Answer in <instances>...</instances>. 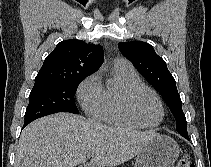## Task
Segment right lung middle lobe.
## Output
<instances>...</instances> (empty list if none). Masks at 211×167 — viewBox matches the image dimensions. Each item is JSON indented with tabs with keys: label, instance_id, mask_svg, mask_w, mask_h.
Listing matches in <instances>:
<instances>
[{
	"label": "right lung middle lobe",
	"instance_id": "right-lung-middle-lobe-1",
	"mask_svg": "<svg viewBox=\"0 0 211 167\" xmlns=\"http://www.w3.org/2000/svg\"><path fill=\"white\" fill-rule=\"evenodd\" d=\"M84 78L65 82L35 83L29 95V105L25 112V123L57 112L79 111L74 96L79 83Z\"/></svg>",
	"mask_w": 211,
	"mask_h": 167
}]
</instances>
